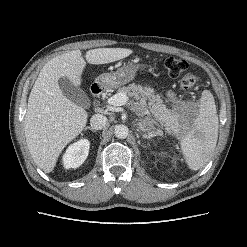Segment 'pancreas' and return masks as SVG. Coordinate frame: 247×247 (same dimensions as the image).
<instances>
[{
	"mask_svg": "<svg viewBox=\"0 0 247 247\" xmlns=\"http://www.w3.org/2000/svg\"><path fill=\"white\" fill-rule=\"evenodd\" d=\"M118 91L135 99L136 102L131 101V105L138 114L143 113L144 109L149 107L156 122H160L167 129L175 126L174 115L163 104L160 96L155 95L152 88L132 83L128 86L119 87Z\"/></svg>",
	"mask_w": 247,
	"mask_h": 247,
	"instance_id": "1",
	"label": "pancreas"
}]
</instances>
